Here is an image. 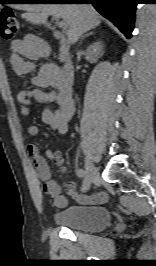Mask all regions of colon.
<instances>
[{
  "mask_svg": "<svg viewBox=\"0 0 156 266\" xmlns=\"http://www.w3.org/2000/svg\"><path fill=\"white\" fill-rule=\"evenodd\" d=\"M18 32V21L14 12L3 9L0 13V35L4 40H12Z\"/></svg>",
  "mask_w": 156,
  "mask_h": 266,
  "instance_id": "1",
  "label": "colon"
}]
</instances>
